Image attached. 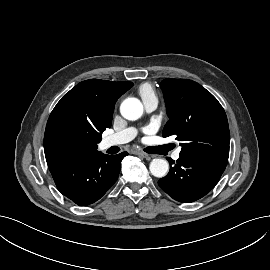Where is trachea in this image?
<instances>
[{"mask_svg": "<svg viewBox=\"0 0 270 270\" xmlns=\"http://www.w3.org/2000/svg\"><path fill=\"white\" fill-rule=\"evenodd\" d=\"M154 149H155V147H148V148L145 149V151H146L147 153L154 154V153H155V152H154Z\"/></svg>", "mask_w": 270, "mask_h": 270, "instance_id": "trachea-1", "label": "trachea"}]
</instances>
